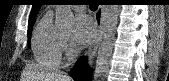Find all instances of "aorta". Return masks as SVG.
<instances>
[{
  "label": "aorta",
  "mask_w": 169,
  "mask_h": 81,
  "mask_svg": "<svg viewBox=\"0 0 169 81\" xmlns=\"http://www.w3.org/2000/svg\"><path fill=\"white\" fill-rule=\"evenodd\" d=\"M118 5H102L100 41L98 46L94 81H106L110 67L115 31L118 22ZM74 15L70 8L60 5L56 8L55 24L62 30L73 27Z\"/></svg>",
  "instance_id": "762f6f07"
}]
</instances>
